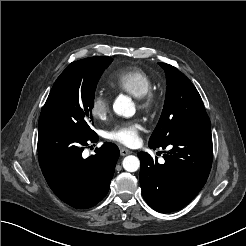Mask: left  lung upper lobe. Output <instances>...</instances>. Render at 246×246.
Returning a JSON list of instances; mask_svg holds the SVG:
<instances>
[{
  "instance_id": "5c2ea615",
  "label": "left lung upper lobe",
  "mask_w": 246,
  "mask_h": 246,
  "mask_svg": "<svg viewBox=\"0 0 246 246\" xmlns=\"http://www.w3.org/2000/svg\"><path fill=\"white\" fill-rule=\"evenodd\" d=\"M159 65L166 73V98L149 145L160 147L175 135L210 132V120L192 82L174 66Z\"/></svg>"
}]
</instances>
